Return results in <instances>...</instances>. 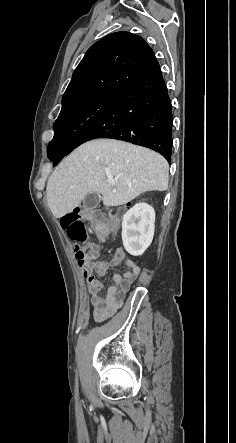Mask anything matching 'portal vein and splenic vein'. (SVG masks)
Masks as SVG:
<instances>
[{
    "mask_svg": "<svg viewBox=\"0 0 236 443\" xmlns=\"http://www.w3.org/2000/svg\"><path fill=\"white\" fill-rule=\"evenodd\" d=\"M109 182L111 185H115V180L113 178H109Z\"/></svg>",
    "mask_w": 236,
    "mask_h": 443,
    "instance_id": "portal-vein-and-splenic-vein-1",
    "label": "portal vein and splenic vein"
}]
</instances>
